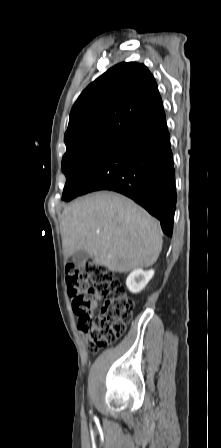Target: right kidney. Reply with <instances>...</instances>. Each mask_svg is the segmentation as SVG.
<instances>
[{
	"label": "right kidney",
	"mask_w": 221,
	"mask_h": 448,
	"mask_svg": "<svg viewBox=\"0 0 221 448\" xmlns=\"http://www.w3.org/2000/svg\"><path fill=\"white\" fill-rule=\"evenodd\" d=\"M154 270L143 271L142 269H136L132 271L127 279L126 286L132 293H139L142 291L148 282L152 279Z\"/></svg>",
	"instance_id": "right-kidney-1"
}]
</instances>
